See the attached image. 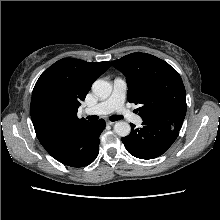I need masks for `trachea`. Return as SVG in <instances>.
Returning a JSON list of instances; mask_svg holds the SVG:
<instances>
[{
    "label": "trachea",
    "mask_w": 220,
    "mask_h": 220,
    "mask_svg": "<svg viewBox=\"0 0 220 220\" xmlns=\"http://www.w3.org/2000/svg\"><path fill=\"white\" fill-rule=\"evenodd\" d=\"M87 119L91 122H94V121H97L98 120V116H88ZM120 119H123L122 116H119V115H113V116H110V120L111 121H118Z\"/></svg>",
    "instance_id": "3493384b"
}]
</instances>
